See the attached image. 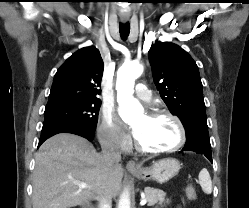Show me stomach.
<instances>
[{"label":"stomach","instance_id":"stomach-1","mask_svg":"<svg viewBox=\"0 0 249 208\" xmlns=\"http://www.w3.org/2000/svg\"><path fill=\"white\" fill-rule=\"evenodd\" d=\"M180 162L174 158H165L153 163L150 167H144L132 173L142 180H154L165 183L176 176L180 170Z\"/></svg>","mask_w":249,"mask_h":208}]
</instances>
